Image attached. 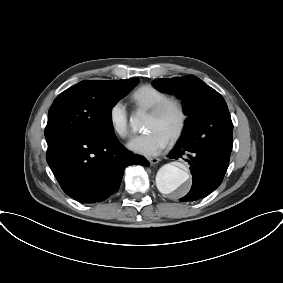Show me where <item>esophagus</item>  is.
I'll return each mask as SVG.
<instances>
[{
	"label": "esophagus",
	"mask_w": 283,
	"mask_h": 283,
	"mask_svg": "<svg viewBox=\"0 0 283 283\" xmlns=\"http://www.w3.org/2000/svg\"><path fill=\"white\" fill-rule=\"evenodd\" d=\"M148 161L151 165L157 164L160 161V158H148Z\"/></svg>",
	"instance_id": "1"
}]
</instances>
